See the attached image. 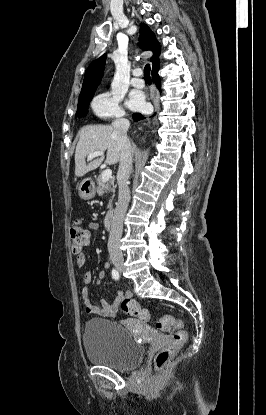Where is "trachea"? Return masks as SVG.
I'll use <instances>...</instances> for the list:
<instances>
[{"label":"trachea","mask_w":266,"mask_h":415,"mask_svg":"<svg viewBox=\"0 0 266 415\" xmlns=\"http://www.w3.org/2000/svg\"><path fill=\"white\" fill-rule=\"evenodd\" d=\"M144 79L147 81H151V76H150V65L147 64L144 68Z\"/></svg>","instance_id":"1"}]
</instances>
